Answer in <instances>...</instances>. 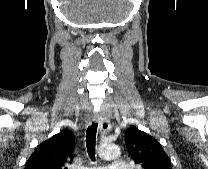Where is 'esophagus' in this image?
<instances>
[{"label": "esophagus", "mask_w": 208, "mask_h": 169, "mask_svg": "<svg viewBox=\"0 0 208 169\" xmlns=\"http://www.w3.org/2000/svg\"><path fill=\"white\" fill-rule=\"evenodd\" d=\"M96 120L99 124V129L102 134L108 132L111 128L110 120L102 113L96 115Z\"/></svg>", "instance_id": "34e87169"}]
</instances>
